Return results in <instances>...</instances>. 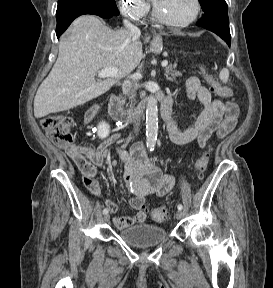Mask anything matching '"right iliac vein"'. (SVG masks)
<instances>
[{
	"label": "right iliac vein",
	"instance_id": "right-iliac-vein-1",
	"mask_svg": "<svg viewBox=\"0 0 273 288\" xmlns=\"http://www.w3.org/2000/svg\"><path fill=\"white\" fill-rule=\"evenodd\" d=\"M109 220H110V215L107 213V214L104 215L103 221H104L105 223H107Z\"/></svg>",
	"mask_w": 273,
	"mask_h": 288
}]
</instances>
